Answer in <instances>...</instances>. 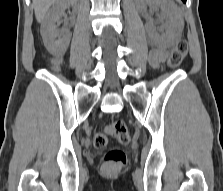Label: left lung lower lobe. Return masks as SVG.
Returning <instances> with one entry per match:
<instances>
[{"label":"left lung lower lobe","mask_w":223,"mask_h":191,"mask_svg":"<svg viewBox=\"0 0 223 191\" xmlns=\"http://www.w3.org/2000/svg\"><path fill=\"white\" fill-rule=\"evenodd\" d=\"M184 3H186V0H182Z\"/></svg>","instance_id":"0a47b994"}]
</instances>
